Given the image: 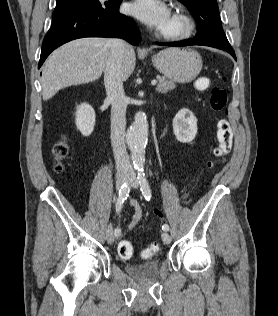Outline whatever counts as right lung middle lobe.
<instances>
[{
	"label": "right lung middle lobe",
	"mask_w": 278,
	"mask_h": 316,
	"mask_svg": "<svg viewBox=\"0 0 278 316\" xmlns=\"http://www.w3.org/2000/svg\"><path fill=\"white\" fill-rule=\"evenodd\" d=\"M95 0H57L55 9L66 8L78 3Z\"/></svg>",
	"instance_id": "right-lung-middle-lobe-1"
}]
</instances>
